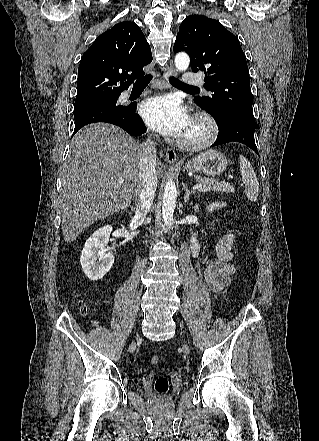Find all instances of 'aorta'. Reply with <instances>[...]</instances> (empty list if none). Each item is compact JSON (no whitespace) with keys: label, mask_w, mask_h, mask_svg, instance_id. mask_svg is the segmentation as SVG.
<instances>
[{"label":"aorta","mask_w":319,"mask_h":441,"mask_svg":"<svg viewBox=\"0 0 319 441\" xmlns=\"http://www.w3.org/2000/svg\"><path fill=\"white\" fill-rule=\"evenodd\" d=\"M190 58L185 52H178L175 56V66L179 71H185L189 67ZM177 190L173 180H168L164 188L162 218L165 226L174 224V211L176 207Z\"/></svg>","instance_id":"762f6f07"}]
</instances>
